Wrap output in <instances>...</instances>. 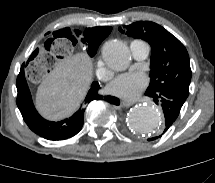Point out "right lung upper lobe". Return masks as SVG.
I'll return each mask as SVG.
<instances>
[{"label":"right lung upper lobe","mask_w":215,"mask_h":183,"mask_svg":"<svg viewBox=\"0 0 215 183\" xmlns=\"http://www.w3.org/2000/svg\"><path fill=\"white\" fill-rule=\"evenodd\" d=\"M65 30L70 32L68 28H66ZM111 30L112 28L109 26L92 28V31H95L97 34L104 37V39L110 34Z\"/></svg>","instance_id":"right-lung-upper-lobe-1"}]
</instances>
